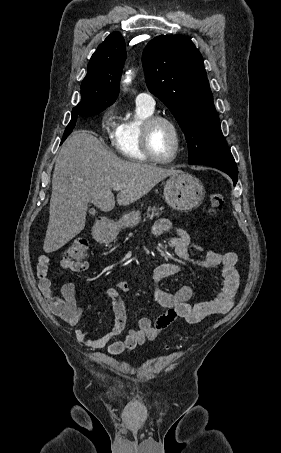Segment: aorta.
Here are the masks:
<instances>
[{"instance_id": "obj_1", "label": "aorta", "mask_w": 281, "mask_h": 453, "mask_svg": "<svg viewBox=\"0 0 281 453\" xmlns=\"http://www.w3.org/2000/svg\"><path fill=\"white\" fill-rule=\"evenodd\" d=\"M130 75H131V71L127 72V78L125 79V83H129L131 81Z\"/></svg>"}]
</instances>
